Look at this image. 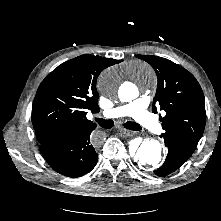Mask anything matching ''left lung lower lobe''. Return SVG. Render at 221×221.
I'll return each mask as SVG.
<instances>
[{"instance_id": "obj_1", "label": "left lung lower lobe", "mask_w": 221, "mask_h": 221, "mask_svg": "<svg viewBox=\"0 0 221 221\" xmlns=\"http://www.w3.org/2000/svg\"><path fill=\"white\" fill-rule=\"evenodd\" d=\"M164 141L168 147V155L164 164L154 171L160 177L167 176L177 170L193 154L196 147L173 138H164Z\"/></svg>"}]
</instances>
